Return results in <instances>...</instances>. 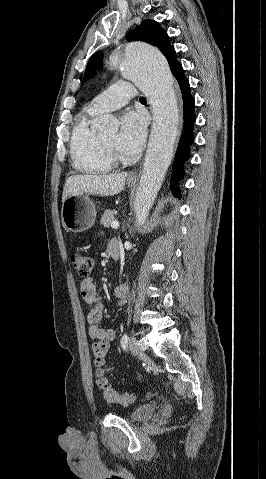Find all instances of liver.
<instances>
[{
  "instance_id": "liver-1",
  "label": "liver",
  "mask_w": 266,
  "mask_h": 479,
  "mask_svg": "<svg viewBox=\"0 0 266 479\" xmlns=\"http://www.w3.org/2000/svg\"><path fill=\"white\" fill-rule=\"evenodd\" d=\"M127 173L109 175H72L64 185L62 202L69 196L79 194H98L113 196L120 193L127 178Z\"/></svg>"
}]
</instances>
